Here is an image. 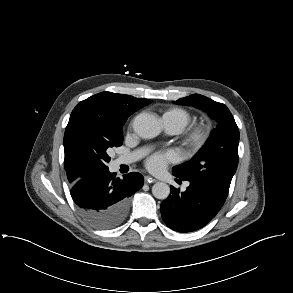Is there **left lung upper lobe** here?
<instances>
[{
    "label": "left lung upper lobe",
    "mask_w": 293,
    "mask_h": 293,
    "mask_svg": "<svg viewBox=\"0 0 293 293\" xmlns=\"http://www.w3.org/2000/svg\"><path fill=\"white\" fill-rule=\"evenodd\" d=\"M176 104L193 106L217 121L203 147L191 160L173 167L174 175L182 179H197L229 191L238 165L239 131L226 105L200 94L180 98Z\"/></svg>",
    "instance_id": "obj_1"
}]
</instances>
